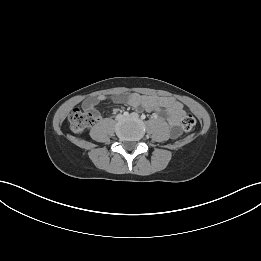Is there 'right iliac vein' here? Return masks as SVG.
<instances>
[{"instance_id":"right-iliac-vein-1","label":"right iliac vein","mask_w":261,"mask_h":261,"mask_svg":"<svg viewBox=\"0 0 261 261\" xmlns=\"http://www.w3.org/2000/svg\"><path fill=\"white\" fill-rule=\"evenodd\" d=\"M122 119H123V115L118 114V115L116 116V120H117V121H120V120H122Z\"/></svg>"}]
</instances>
